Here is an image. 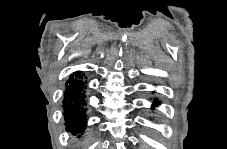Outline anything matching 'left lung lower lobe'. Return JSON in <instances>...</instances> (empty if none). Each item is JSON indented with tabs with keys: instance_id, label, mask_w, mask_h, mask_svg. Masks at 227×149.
<instances>
[{
	"instance_id": "left-lung-lower-lobe-1",
	"label": "left lung lower lobe",
	"mask_w": 227,
	"mask_h": 149,
	"mask_svg": "<svg viewBox=\"0 0 227 149\" xmlns=\"http://www.w3.org/2000/svg\"><path fill=\"white\" fill-rule=\"evenodd\" d=\"M158 104H159V102L157 100H154L153 107L157 106Z\"/></svg>"
}]
</instances>
